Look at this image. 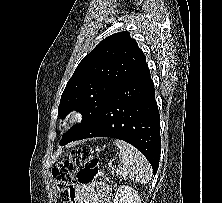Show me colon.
<instances>
[{"label":"colon","mask_w":222,"mask_h":203,"mask_svg":"<svg viewBox=\"0 0 222 203\" xmlns=\"http://www.w3.org/2000/svg\"><path fill=\"white\" fill-rule=\"evenodd\" d=\"M60 194L70 200L72 180L77 178L81 184H89L95 179H106L101 170L99 159L88 146H81L71 151L69 157L58 163L52 170Z\"/></svg>","instance_id":"colon-1"}]
</instances>
